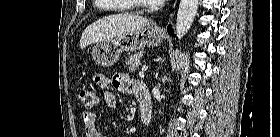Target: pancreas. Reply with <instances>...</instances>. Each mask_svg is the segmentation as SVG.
Listing matches in <instances>:
<instances>
[{"instance_id": "1", "label": "pancreas", "mask_w": 280, "mask_h": 137, "mask_svg": "<svg viewBox=\"0 0 280 137\" xmlns=\"http://www.w3.org/2000/svg\"><path fill=\"white\" fill-rule=\"evenodd\" d=\"M142 55L143 54L139 52L126 58L125 62L128 65L130 71H136L142 65L140 62Z\"/></svg>"}]
</instances>
